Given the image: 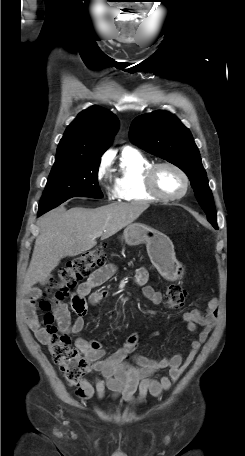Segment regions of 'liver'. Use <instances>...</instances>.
<instances>
[{"instance_id":"1","label":"liver","mask_w":245,"mask_h":456,"mask_svg":"<svg viewBox=\"0 0 245 456\" xmlns=\"http://www.w3.org/2000/svg\"><path fill=\"white\" fill-rule=\"evenodd\" d=\"M146 202L112 203L96 209L58 207L38 220L40 234L23 283V293L45 280L66 256L92 249L96 239H106L132 224L147 208Z\"/></svg>"}]
</instances>
